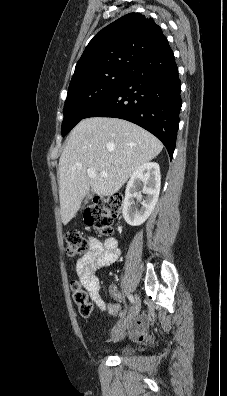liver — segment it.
Wrapping results in <instances>:
<instances>
[{
	"label": "liver",
	"instance_id": "obj_1",
	"mask_svg": "<svg viewBox=\"0 0 227 396\" xmlns=\"http://www.w3.org/2000/svg\"><path fill=\"white\" fill-rule=\"evenodd\" d=\"M163 144L143 128L112 117H91L71 131L59 159V199L64 225L75 216L90 188L100 196L120 190L133 172L151 161ZM89 168L96 170L90 178ZM107 172L102 177L100 172Z\"/></svg>",
	"mask_w": 227,
	"mask_h": 396
}]
</instances>
